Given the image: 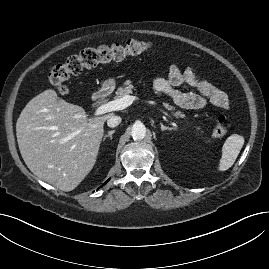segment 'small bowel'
<instances>
[{"label": "small bowel", "instance_id": "1", "mask_svg": "<svg viewBox=\"0 0 269 269\" xmlns=\"http://www.w3.org/2000/svg\"><path fill=\"white\" fill-rule=\"evenodd\" d=\"M183 84L190 86L195 92L179 91L177 87ZM153 89L158 95L169 96L175 104L187 110H201L207 103L225 110L230 105L227 94L197 75L192 67L181 69L171 66L166 78L160 77L153 81Z\"/></svg>", "mask_w": 269, "mask_h": 269}]
</instances>
